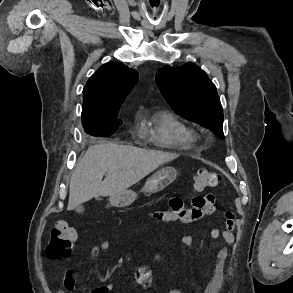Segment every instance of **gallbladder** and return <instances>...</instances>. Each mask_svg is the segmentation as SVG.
I'll return each instance as SVG.
<instances>
[{"instance_id":"gallbladder-1","label":"gallbladder","mask_w":293,"mask_h":293,"mask_svg":"<svg viewBox=\"0 0 293 293\" xmlns=\"http://www.w3.org/2000/svg\"><path fill=\"white\" fill-rule=\"evenodd\" d=\"M74 210H75L77 213H82V212L84 211V208H83V206L80 205V206L75 207Z\"/></svg>"}]
</instances>
